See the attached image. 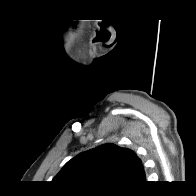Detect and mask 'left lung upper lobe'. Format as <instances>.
<instances>
[{"label": "left lung upper lobe", "instance_id": "obj_1", "mask_svg": "<svg viewBox=\"0 0 196 196\" xmlns=\"http://www.w3.org/2000/svg\"><path fill=\"white\" fill-rule=\"evenodd\" d=\"M52 182L78 193H123L143 184L145 172L134 151L108 143L72 158Z\"/></svg>", "mask_w": 196, "mask_h": 196}]
</instances>
